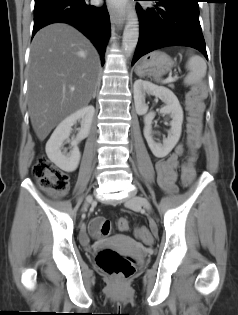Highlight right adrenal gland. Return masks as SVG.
<instances>
[{"label":"right adrenal gland","mask_w":238,"mask_h":315,"mask_svg":"<svg viewBox=\"0 0 238 315\" xmlns=\"http://www.w3.org/2000/svg\"><path fill=\"white\" fill-rule=\"evenodd\" d=\"M95 97H96V87H95V91L93 93V98H95Z\"/></svg>","instance_id":"obj_1"}]
</instances>
